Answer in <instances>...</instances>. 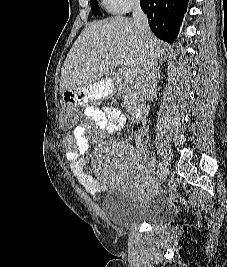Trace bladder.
<instances>
[{"mask_svg": "<svg viewBox=\"0 0 227 267\" xmlns=\"http://www.w3.org/2000/svg\"><path fill=\"white\" fill-rule=\"evenodd\" d=\"M102 207L113 225L125 229L142 223H167L173 217L168 205L158 200H139L118 188L106 192Z\"/></svg>", "mask_w": 227, "mask_h": 267, "instance_id": "1", "label": "bladder"}]
</instances>
